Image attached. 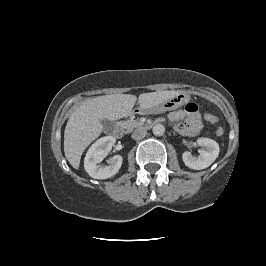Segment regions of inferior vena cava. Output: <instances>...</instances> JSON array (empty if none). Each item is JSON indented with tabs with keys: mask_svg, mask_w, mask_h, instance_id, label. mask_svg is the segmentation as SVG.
<instances>
[{
	"mask_svg": "<svg viewBox=\"0 0 266 266\" xmlns=\"http://www.w3.org/2000/svg\"><path fill=\"white\" fill-rule=\"evenodd\" d=\"M146 135H147L146 130L140 128V129H136V130L132 133V136H131V137H132L134 140H140V139L144 138Z\"/></svg>",
	"mask_w": 266,
	"mask_h": 266,
	"instance_id": "obj_1",
	"label": "inferior vena cava"
}]
</instances>
